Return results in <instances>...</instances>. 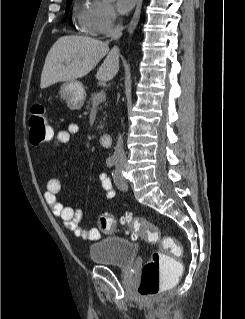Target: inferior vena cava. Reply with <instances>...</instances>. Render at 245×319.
Masks as SVG:
<instances>
[{
  "instance_id": "inferior-vena-cava-1",
  "label": "inferior vena cava",
  "mask_w": 245,
  "mask_h": 319,
  "mask_svg": "<svg viewBox=\"0 0 245 319\" xmlns=\"http://www.w3.org/2000/svg\"><path fill=\"white\" fill-rule=\"evenodd\" d=\"M122 30H123L122 25H116L110 34L111 39L112 40L119 39L122 34ZM113 51H115L116 53H119L118 47H114ZM114 158L117 163H123L126 161V156H125V152L123 148V138L121 134H119L117 139V144H116L115 152H114Z\"/></svg>"
}]
</instances>
